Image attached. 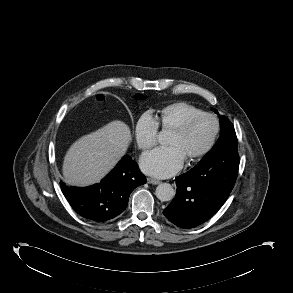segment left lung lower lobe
I'll list each match as a JSON object with an SVG mask.
<instances>
[{"label":"left lung lower lobe","mask_w":293,"mask_h":293,"mask_svg":"<svg viewBox=\"0 0 293 293\" xmlns=\"http://www.w3.org/2000/svg\"><path fill=\"white\" fill-rule=\"evenodd\" d=\"M239 156L232 155L215 166H195L176 177V195L163 214L182 228L196 227L210 219L232 191Z\"/></svg>","instance_id":"left-lung-lower-lobe-1"}]
</instances>
